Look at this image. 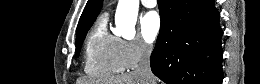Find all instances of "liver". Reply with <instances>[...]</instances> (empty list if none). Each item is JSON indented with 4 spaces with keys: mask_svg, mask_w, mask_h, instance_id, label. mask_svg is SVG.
Wrapping results in <instances>:
<instances>
[{
    "mask_svg": "<svg viewBox=\"0 0 260 84\" xmlns=\"http://www.w3.org/2000/svg\"><path fill=\"white\" fill-rule=\"evenodd\" d=\"M84 82L86 84H145V81L134 72L104 79H86Z\"/></svg>",
    "mask_w": 260,
    "mask_h": 84,
    "instance_id": "liver-1",
    "label": "liver"
}]
</instances>
